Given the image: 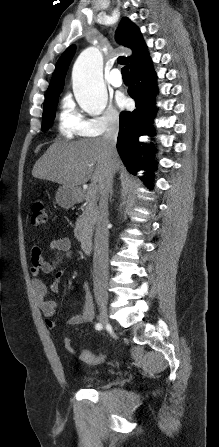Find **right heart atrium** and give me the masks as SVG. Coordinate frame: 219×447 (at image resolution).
Returning a JSON list of instances; mask_svg holds the SVG:
<instances>
[{
    "mask_svg": "<svg viewBox=\"0 0 219 447\" xmlns=\"http://www.w3.org/2000/svg\"><path fill=\"white\" fill-rule=\"evenodd\" d=\"M120 123V114L114 108H108L102 115L87 121V129L93 136L102 135L116 128Z\"/></svg>",
    "mask_w": 219,
    "mask_h": 447,
    "instance_id": "d8ad5b80",
    "label": "right heart atrium"
}]
</instances>
